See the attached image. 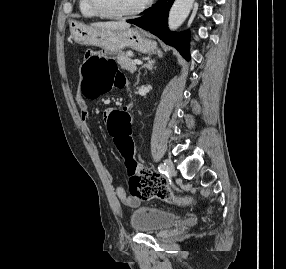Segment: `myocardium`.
<instances>
[{
    "label": "myocardium",
    "instance_id": "myocardium-1",
    "mask_svg": "<svg viewBox=\"0 0 286 269\" xmlns=\"http://www.w3.org/2000/svg\"><path fill=\"white\" fill-rule=\"evenodd\" d=\"M153 2V0H146L142 5L137 7L136 9L129 11V12H124V13H112L107 10H105L101 3L100 0H90V4L93 8V10L97 13L98 16L107 18V19H127L131 17H135L142 12H144Z\"/></svg>",
    "mask_w": 286,
    "mask_h": 269
}]
</instances>
